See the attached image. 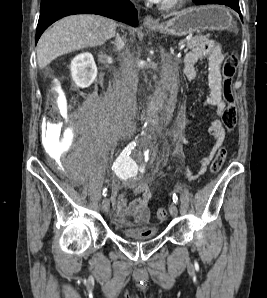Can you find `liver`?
Segmentation results:
<instances>
[{
  "label": "liver",
  "mask_w": 267,
  "mask_h": 298,
  "mask_svg": "<svg viewBox=\"0 0 267 298\" xmlns=\"http://www.w3.org/2000/svg\"><path fill=\"white\" fill-rule=\"evenodd\" d=\"M117 23L98 15H72L45 31L37 44V62L46 67L57 57L87 47L101 46L116 35Z\"/></svg>",
  "instance_id": "6515ba94"
}]
</instances>
